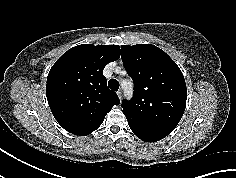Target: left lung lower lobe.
Here are the masks:
<instances>
[{
  "label": "left lung lower lobe",
  "mask_w": 236,
  "mask_h": 178,
  "mask_svg": "<svg viewBox=\"0 0 236 178\" xmlns=\"http://www.w3.org/2000/svg\"><path fill=\"white\" fill-rule=\"evenodd\" d=\"M131 130L137 137H139L141 140L145 142H155L165 137L164 135L161 134L151 133L136 128H131Z\"/></svg>",
  "instance_id": "0a47b994"
}]
</instances>
